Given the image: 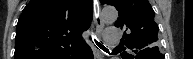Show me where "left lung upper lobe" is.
<instances>
[{
  "label": "left lung upper lobe",
  "instance_id": "obj_1",
  "mask_svg": "<svg viewBox=\"0 0 193 59\" xmlns=\"http://www.w3.org/2000/svg\"><path fill=\"white\" fill-rule=\"evenodd\" d=\"M113 5L119 18L115 26L125 30L123 45L138 53L143 49L158 48V26L154 22V11L148 0H100ZM127 32V34H126ZM129 56V55H128ZM130 55L129 58L132 59Z\"/></svg>",
  "mask_w": 193,
  "mask_h": 59
}]
</instances>
